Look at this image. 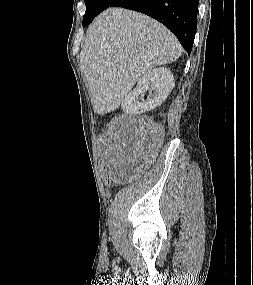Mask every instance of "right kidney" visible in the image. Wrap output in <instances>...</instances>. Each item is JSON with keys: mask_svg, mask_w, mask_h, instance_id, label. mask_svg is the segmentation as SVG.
<instances>
[{"mask_svg": "<svg viewBox=\"0 0 253 285\" xmlns=\"http://www.w3.org/2000/svg\"><path fill=\"white\" fill-rule=\"evenodd\" d=\"M174 85L173 74L166 67L149 70L139 79L137 86L126 95L122 108L128 114H141L154 110L166 100ZM147 90L153 94L146 101L135 102V98Z\"/></svg>", "mask_w": 253, "mask_h": 285, "instance_id": "1", "label": "right kidney"}]
</instances>
